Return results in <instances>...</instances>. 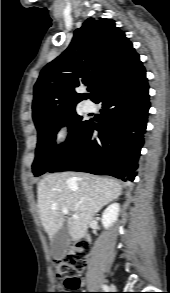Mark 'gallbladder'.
I'll return each mask as SVG.
<instances>
[{
  "instance_id": "1",
  "label": "gallbladder",
  "mask_w": 170,
  "mask_h": 293,
  "mask_svg": "<svg viewBox=\"0 0 170 293\" xmlns=\"http://www.w3.org/2000/svg\"><path fill=\"white\" fill-rule=\"evenodd\" d=\"M69 229L65 221L60 230L53 236L50 244L51 255L56 260H61L67 251L69 243Z\"/></svg>"
}]
</instances>
